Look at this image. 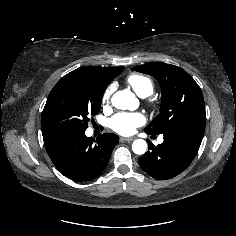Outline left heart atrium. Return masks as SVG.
Wrapping results in <instances>:
<instances>
[{
  "label": "left heart atrium",
  "instance_id": "obj_1",
  "mask_svg": "<svg viewBox=\"0 0 236 236\" xmlns=\"http://www.w3.org/2000/svg\"><path fill=\"white\" fill-rule=\"evenodd\" d=\"M146 122V118L139 112H119L109 121L112 130L121 135H130Z\"/></svg>",
  "mask_w": 236,
  "mask_h": 236
}]
</instances>
